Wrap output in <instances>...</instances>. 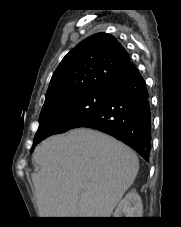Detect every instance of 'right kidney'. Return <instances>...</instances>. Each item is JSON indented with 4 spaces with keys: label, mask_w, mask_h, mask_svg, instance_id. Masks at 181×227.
I'll return each mask as SVG.
<instances>
[{
    "label": "right kidney",
    "mask_w": 181,
    "mask_h": 227,
    "mask_svg": "<svg viewBox=\"0 0 181 227\" xmlns=\"http://www.w3.org/2000/svg\"><path fill=\"white\" fill-rule=\"evenodd\" d=\"M143 205L139 194L135 190L128 192L119 202L114 217H142Z\"/></svg>",
    "instance_id": "1"
}]
</instances>
